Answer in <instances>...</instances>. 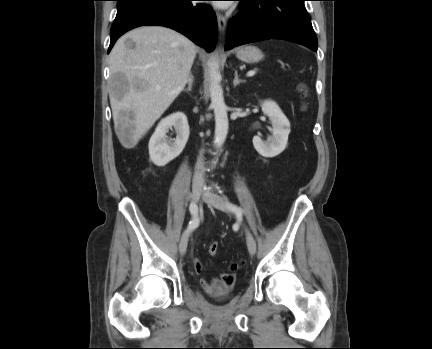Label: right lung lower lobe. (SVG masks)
Masks as SVG:
<instances>
[{
    "label": "right lung lower lobe",
    "instance_id": "98d812e1",
    "mask_svg": "<svg viewBox=\"0 0 432 349\" xmlns=\"http://www.w3.org/2000/svg\"><path fill=\"white\" fill-rule=\"evenodd\" d=\"M117 15L110 30V46L127 31L144 25L174 29L212 51L217 40L214 11L192 0H117Z\"/></svg>",
    "mask_w": 432,
    "mask_h": 349
}]
</instances>
